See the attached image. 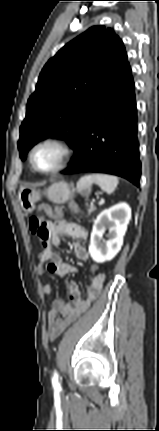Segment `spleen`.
I'll return each instance as SVG.
<instances>
[{
	"label": "spleen",
	"mask_w": 159,
	"mask_h": 431,
	"mask_svg": "<svg viewBox=\"0 0 159 431\" xmlns=\"http://www.w3.org/2000/svg\"><path fill=\"white\" fill-rule=\"evenodd\" d=\"M118 181L119 180L116 176L107 174H90L80 179V182L84 184H97L103 191L108 194H111L115 191L118 185Z\"/></svg>",
	"instance_id": "obj_1"
}]
</instances>
